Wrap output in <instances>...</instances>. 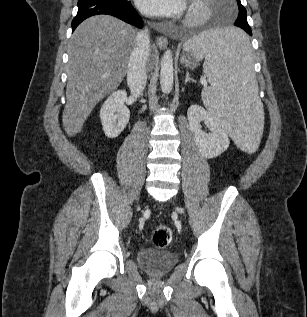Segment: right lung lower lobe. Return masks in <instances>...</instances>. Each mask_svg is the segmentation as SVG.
I'll return each mask as SVG.
<instances>
[{
	"mask_svg": "<svg viewBox=\"0 0 307 317\" xmlns=\"http://www.w3.org/2000/svg\"><path fill=\"white\" fill-rule=\"evenodd\" d=\"M100 14L115 16L129 24L142 28V20L129 0H79L78 12L72 21V32L85 19Z\"/></svg>",
	"mask_w": 307,
	"mask_h": 317,
	"instance_id": "98d812e1",
	"label": "right lung lower lobe"
}]
</instances>
